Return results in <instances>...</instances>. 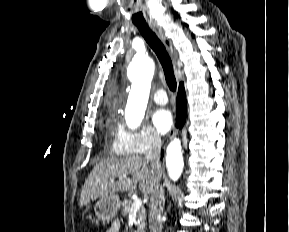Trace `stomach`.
<instances>
[{
    "label": "stomach",
    "instance_id": "1",
    "mask_svg": "<svg viewBox=\"0 0 289 232\" xmlns=\"http://www.w3.org/2000/svg\"><path fill=\"white\" fill-rule=\"evenodd\" d=\"M120 204V199L115 194L100 198V200L97 201L94 206V212L96 217V220L94 219V222L98 224L99 221L108 222L113 220L117 215Z\"/></svg>",
    "mask_w": 289,
    "mask_h": 232
}]
</instances>
